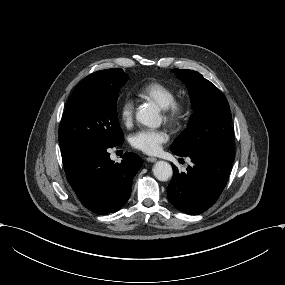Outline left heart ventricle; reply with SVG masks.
<instances>
[{
    "mask_svg": "<svg viewBox=\"0 0 285 285\" xmlns=\"http://www.w3.org/2000/svg\"><path fill=\"white\" fill-rule=\"evenodd\" d=\"M161 119H163V114L161 113Z\"/></svg>",
    "mask_w": 285,
    "mask_h": 285,
    "instance_id": "left-heart-ventricle-1",
    "label": "left heart ventricle"
}]
</instances>
